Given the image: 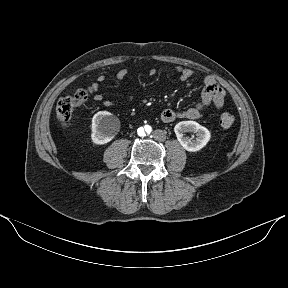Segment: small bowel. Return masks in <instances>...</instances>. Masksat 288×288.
I'll return each instance as SVG.
<instances>
[{
	"label": "small bowel",
	"instance_id": "c3829d8e",
	"mask_svg": "<svg viewBox=\"0 0 288 288\" xmlns=\"http://www.w3.org/2000/svg\"><path fill=\"white\" fill-rule=\"evenodd\" d=\"M176 71L179 74V78L182 82L188 81L193 76V71L189 68L177 66ZM155 70H151L150 74L153 75ZM128 75L127 69H121L116 73V79L119 82H123ZM106 81L104 75H100L96 78V81L91 84V89L94 92L93 99L95 101L102 102L105 107H112L114 103L110 100H106L103 94L100 92V85ZM225 91L221 85L211 76H208L204 80V87L201 93L200 101L184 110L165 109L160 114V119L164 123H170L176 119H190L196 120L202 117L203 111L210 105H214L216 108H221L224 104Z\"/></svg>",
	"mask_w": 288,
	"mask_h": 288
}]
</instances>
